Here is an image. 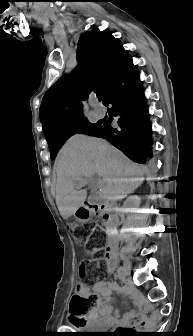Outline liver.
Instances as JSON below:
<instances>
[{
  "mask_svg": "<svg viewBox=\"0 0 193 336\" xmlns=\"http://www.w3.org/2000/svg\"><path fill=\"white\" fill-rule=\"evenodd\" d=\"M54 169L56 204L63 219L84 205L87 190L80 189L94 174L102 178L97 182L99 197L117 201L133 193L146 172L145 167L129 160L107 141L88 136L71 138L60 150Z\"/></svg>",
  "mask_w": 193,
  "mask_h": 336,
  "instance_id": "6515ba94",
  "label": "liver"
}]
</instances>
